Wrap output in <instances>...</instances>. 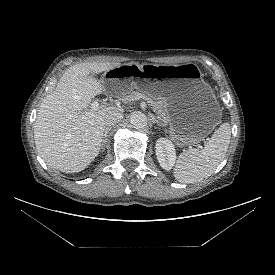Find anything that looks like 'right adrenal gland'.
Instances as JSON below:
<instances>
[{
  "mask_svg": "<svg viewBox=\"0 0 275 275\" xmlns=\"http://www.w3.org/2000/svg\"><path fill=\"white\" fill-rule=\"evenodd\" d=\"M111 130L110 127H107L104 131V135H103V142H102V146H103V150L105 148V144L107 142V137H108V132Z\"/></svg>",
  "mask_w": 275,
  "mask_h": 275,
  "instance_id": "1",
  "label": "right adrenal gland"
}]
</instances>
